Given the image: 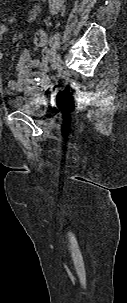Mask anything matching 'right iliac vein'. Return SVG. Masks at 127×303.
I'll use <instances>...</instances> for the list:
<instances>
[{
    "mask_svg": "<svg viewBox=\"0 0 127 303\" xmlns=\"http://www.w3.org/2000/svg\"><path fill=\"white\" fill-rule=\"evenodd\" d=\"M60 62H61V57H60V55H57V56L53 59L52 68H53V69H56V68L60 65Z\"/></svg>",
    "mask_w": 127,
    "mask_h": 303,
    "instance_id": "63e3f726",
    "label": "right iliac vein"
}]
</instances>
